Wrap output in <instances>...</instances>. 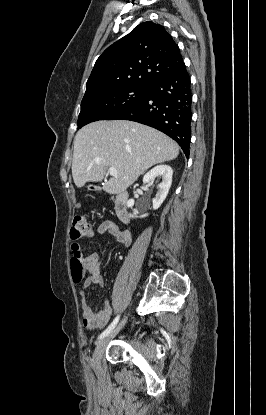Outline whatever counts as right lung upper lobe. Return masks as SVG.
<instances>
[{
    "label": "right lung upper lobe",
    "instance_id": "cb5924a9",
    "mask_svg": "<svg viewBox=\"0 0 266 415\" xmlns=\"http://www.w3.org/2000/svg\"><path fill=\"white\" fill-rule=\"evenodd\" d=\"M184 67L179 47L165 28L144 22L100 55L84 97L123 86L148 88Z\"/></svg>",
    "mask_w": 266,
    "mask_h": 415
}]
</instances>
